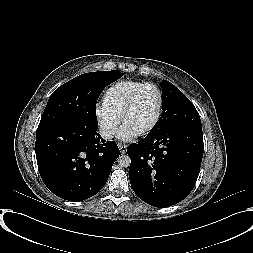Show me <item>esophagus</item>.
I'll use <instances>...</instances> for the list:
<instances>
[{"instance_id": "1", "label": "esophagus", "mask_w": 253, "mask_h": 253, "mask_svg": "<svg viewBox=\"0 0 253 253\" xmlns=\"http://www.w3.org/2000/svg\"><path fill=\"white\" fill-rule=\"evenodd\" d=\"M118 147H119V150H120L121 154H125L126 153V151H127V145L120 143V144H118Z\"/></svg>"}]
</instances>
